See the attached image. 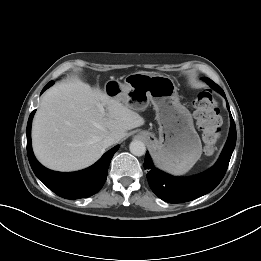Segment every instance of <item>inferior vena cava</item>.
Wrapping results in <instances>:
<instances>
[{
  "label": "inferior vena cava",
  "instance_id": "602c4592",
  "mask_svg": "<svg viewBox=\"0 0 261 261\" xmlns=\"http://www.w3.org/2000/svg\"><path fill=\"white\" fill-rule=\"evenodd\" d=\"M116 140L113 136H106L104 139H103V145L105 148L115 144Z\"/></svg>",
  "mask_w": 261,
  "mask_h": 261
}]
</instances>
